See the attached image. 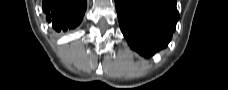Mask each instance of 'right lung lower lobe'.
<instances>
[{"label":"right lung lower lobe","mask_w":228,"mask_h":90,"mask_svg":"<svg viewBox=\"0 0 228 90\" xmlns=\"http://www.w3.org/2000/svg\"><path fill=\"white\" fill-rule=\"evenodd\" d=\"M86 7V0H43L42 9L56 31H66L80 24Z\"/></svg>","instance_id":"obj_1"}]
</instances>
